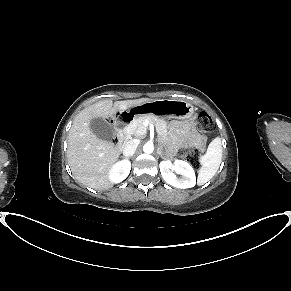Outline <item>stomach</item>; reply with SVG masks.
<instances>
[{"instance_id": "stomach-1", "label": "stomach", "mask_w": 291, "mask_h": 291, "mask_svg": "<svg viewBox=\"0 0 291 291\" xmlns=\"http://www.w3.org/2000/svg\"><path fill=\"white\" fill-rule=\"evenodd\" d=\"M133 117L153 115L159 118L192 119L194 108L184 100L156 99L130 107Z\"/></svg>"}]
</instances>
